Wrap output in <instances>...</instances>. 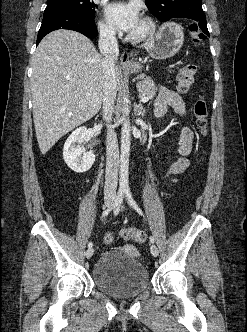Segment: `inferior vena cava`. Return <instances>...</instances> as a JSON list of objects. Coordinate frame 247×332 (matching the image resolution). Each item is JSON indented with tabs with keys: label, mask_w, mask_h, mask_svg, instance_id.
<instances>
[{
	"label": "inferior vena cava",
	"mask_w": 247,
	"mask_h": 332,
	"mask_svg": "<svg viewBox=\"0 0 247 332\" xmlns=\"http://www.w3.org/2000/svg\"><path fill=\"white\" fill-rule=\"evenodd\" d=\"M99 49L104 56L103 67V113L104 119L111 121L114 102L116 98L115 63L118 59L119 48L114 32L109 29H101L99 37ZM106 174L104 186V199L114 200L116 197L119 149L117 136L112 127H108L106 137Z\"/></svg>",
	"instance_id": "obj_1"
}]
</instances>
